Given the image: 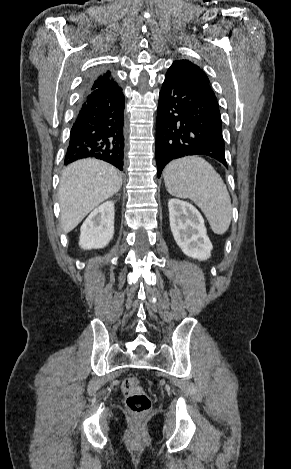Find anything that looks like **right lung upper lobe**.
<instances>
[{
  "label": "right lung upper lobe",
  "instance_id": "1",
  "mask_svg": "<svg viewBox=\"0 0 291 469\" xmlns=\"http://www.w3.org/2000/svg\"><path fill=\"white\" fill-rule=\"evenodd\" d=\"M118 86L117 83L113 80L111 72L105 71L98 74H95L92 77V82L89 86L90 90L105 88V87H115Z\"/></svg>",
  "mask_w": 291,
  "mask_h": 469
}]
</instances>
